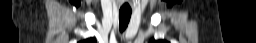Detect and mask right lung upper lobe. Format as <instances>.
Instances as JSON below:
<instances>
[{"mask_svg": "<svg viewBox=\"0 0 256 43\" xmlns=\"http://www.w3.org/2000/svg\"><path fill=\"white\" fill-rule=\"evenodd\" d=\"M95 39L94 38H91V39H87L85 41H82V43H95Z\"/></svg>", "mask_w": 256, "mask_h": 43, "instance_id": "obj_1", "label": "right lung upper lobe"}]
</instances>
